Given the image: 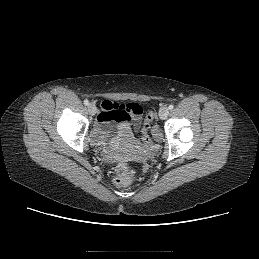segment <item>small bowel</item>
<instances>
[{"label":"small bowel","mask_w":259,"mask_h":259,"mask_svg":"<svg viewBox=\"0 0 259 259\" xmlns=\"http://www.w3.org/2000/svg\"><path fill=\"white\" fill-rule=\"evenodd\" d=\"M101 106L96 126V132L100 139L107 138L113 130H117L123 135H129L138 129L143 114L140 104H118L104 100Z\"/></svg>","instance_id":"c3829d8e"}]
</instances>
